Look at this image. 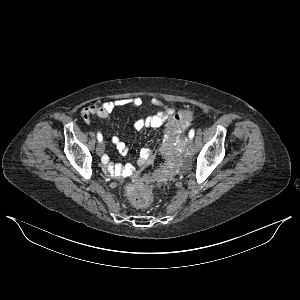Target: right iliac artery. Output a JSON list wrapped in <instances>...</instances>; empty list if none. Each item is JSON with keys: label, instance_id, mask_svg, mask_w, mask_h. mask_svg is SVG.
<instances>
[{"label": "right iliac artery", "instance_id": "obj_1", "mask_svg": "<svg viewBox=\"0 0 300 300\" xmlns=\"http://www.w3.org/2000/svg\"><path fill=\"white\" fill-rule=\"evenodd\" d=\"M97 139L99 142H101L103 139L102 134L100 132L97 133Z\"/></svg>", "mask_w": 300, "mask_h": 300}]
</instances>
